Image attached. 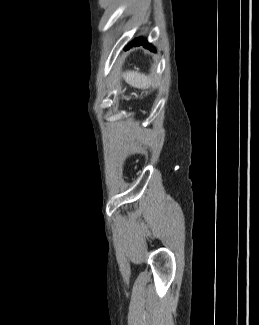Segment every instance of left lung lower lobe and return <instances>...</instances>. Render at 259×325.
<instances>
[{
  "label": "left lung lower lobe",
  "mask_w": 259,
  "mask_h": 325,
  "mask_svg": "<svg viewBox=\"0 0 259 325\" xmlns=\"http://www.w3.org/2000/svg\"><path fill=\"white\" fill-rule=\"evenodd\" d=\"M139 45H144L146 48L150 49L151 51H155V48L147 42V40H144L143 37H139L132 41L126 48L125 50L129 49L131 46H139Z\"/></svg>",
  "instance_id": "left-lung-lower-lobe-1"
}]
</instances>
